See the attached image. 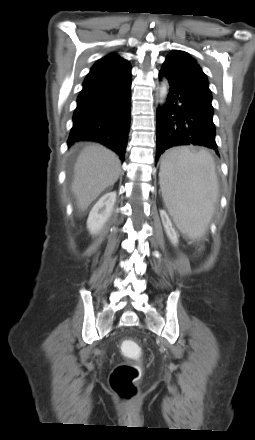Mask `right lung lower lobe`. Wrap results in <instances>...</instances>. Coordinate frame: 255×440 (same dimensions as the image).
Returning a JSON list of instances; mask_svg holds the SVG:
<instances>
[{"label":"right lung lower lobe","mask_w":255,"mask_h":440,"mask_svg":"<svg viewBox=\"0 0 255 440\" xmlns=\"http://www.w3.org/2000/svg\"><path fill=\"white\" fill-rule=\"evenodd\" d=\"M131 66L83 83L68 146L81 140L102 143L124 160L130 129Z\"/></svg>","instance_id":"right-lung-lower-lobe-1"}]
</instances>
